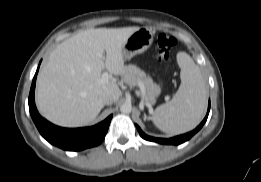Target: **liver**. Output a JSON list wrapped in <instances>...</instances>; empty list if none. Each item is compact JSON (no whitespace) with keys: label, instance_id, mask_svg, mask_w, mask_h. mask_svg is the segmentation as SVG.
Wrapping results in <instances>:
<instances>
[{"label":"liver","instance_id":"1","mask_svg":"<svg viewBox=\"0 0 261 182\" xmlns=\"http://www.w3.org/2000/svg\"><path fill=\"white\" fill-rule=\"evenodd\" d=\"M138 29L91 28L59 44L37 78L36 103L41 115L59 126L81 127L96 119L104 95L117 102L123 83H101V74L106 69L124 76L122 47Z\"/></svg>","mask_w":261,"mask_h":182}]
</instances>
